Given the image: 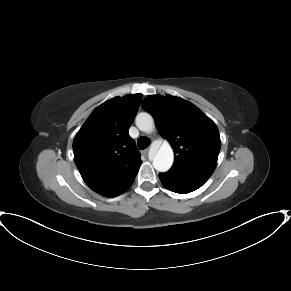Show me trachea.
<instances>
[{
  "mask_svg": "<svg viewBox=\"0 0 291 291\" xmlns=\"http://www.w3.org/2000/svg\"><path fill=\"white\" fill-rule=\"evenodd\" d=\"M150 144V139L148 137L141 136L137 140V145L140 150L147 148Z\"/></svg>",
  "mask_w": 291,
  "mask_h": 291,
  "instance_id": "3493384b",
  "label": "trachea"
}]
</instances>
